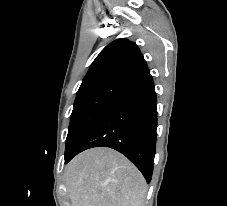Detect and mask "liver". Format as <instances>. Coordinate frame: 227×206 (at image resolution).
I'll return each instance as SVG.
<instances>
[{"instance_id": "1", "label": "liver", "mask_w": 227, "mask_h": 206, "mask_svg": "<svg viewBox=\"0 0 227 206\" xmlns=\"http://www.w3.org/2000/svg\"><path fill=\"white\" fill-rule=\"evenodd\" d=\"M71 206H144L147 186L140 171L110 148H93L66 167Z\"/></svg>"}]
</instances>
